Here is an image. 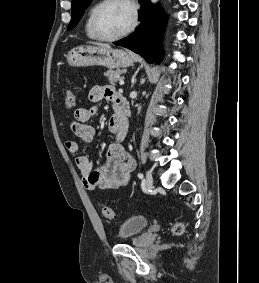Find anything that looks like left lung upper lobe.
<instances>
[{"label":"left lung upper lobe","instance_id":"5c2ea615","mask_svg":"<svg viewBox=\"0 0 259 283\" xmlns=\"http://www.w3.org/2000/svg\"><path fill=\"white\" fill-rule=\"evenodd\" d=\"M92 0H72L71 21L68 30L72 29L82 17L84 10Z\"/></svg>","mask_w":259,"mask_h":283}]
</instances>
